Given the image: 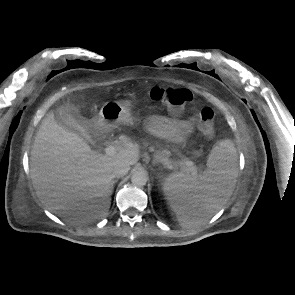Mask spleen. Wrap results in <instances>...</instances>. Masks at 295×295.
<instances>
[{
    "label": "spleen",
    "instance_id": "spleen-1",
    "mask_svg": "<svg viewBox=\"0 0 295 295\" xmlns=\"http://www.w3.org/2000/svg\"><path fill=\"white\" fill-rule=\"evenodd\" d=\"M237 173L236 149L223 140L212 148L203 174L168 176L163 191L181 225L197 226L219 210L232 194Z\"/></svg>",
    "mask_w": 295,
    "mask_h": 295
}]
</instances>
